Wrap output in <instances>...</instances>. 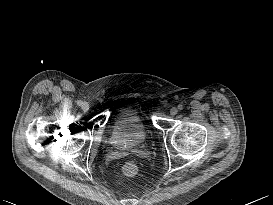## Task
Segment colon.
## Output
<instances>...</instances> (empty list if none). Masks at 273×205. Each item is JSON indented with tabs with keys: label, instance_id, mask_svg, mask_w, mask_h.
Instances as JSON below:
<instances>
[{
	"label": "colon",
	"instance_id": "colon-1",
	"mask_svg": "<svg viewBox=\"0 0 273 205\" xmlns=\"http://www.w3.org/2000/svg\"><path fill=\"white\" fill-rule=\"evenodd\" d=\"M122 172L125 177H133L137 174V166L133 162H127L124 164Z\"/></svg>",
	"mask_w": 273,
	"mask_h": 205
}]
</instances>
